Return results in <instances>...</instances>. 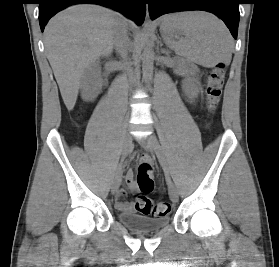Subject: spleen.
<instances>
[{
  "label": "spleen",
  "mask_w": 279,
  "mask_h": 267,
  "mask_svg": "<svg viewBox=\"0 0 279 267\" xmlns=\"http://www.w3.org/2000/svg\"><path fill=\"white\" fill-rule=\"evenodd\" d=\"M178 22L175 29L185 38L173 40L171 31L162 30L164 41L174 51L199 65L213 66L218 62L229 64L233 40L224 23L211 13L187 11L174 15Z\"/></svg>",
  "instance_id": "1"
}]
</instances>
